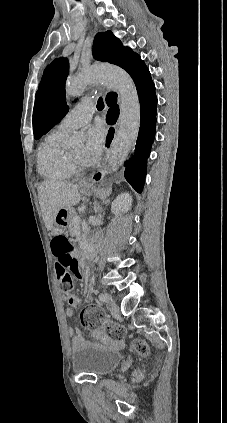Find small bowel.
Instances as JSON below:
<instances>
[{"label":"small bowel","mask_w":227,"mask_h":423,"mask_svg":"<svg viewBox=\"0 0 227 423\" xmlns=\"http://www.w3.org/2000/svg\"><path fill=\"white\" fill-rule=\"evenodd\" d=\"M62 299L68 304L66 309V315L68 317L73 316V308L77 307L80 303L79 298L76 295L70 293H63ZM69 333L72 337V346L74 349L82 348L86 342L79 330H74L72 328L69 329ZM92 336L96 339L102 340L104 342L108 341L107 337L102 331H93Z\"/></svg>","instance_id":"c3829d8e"}]
</instances>
